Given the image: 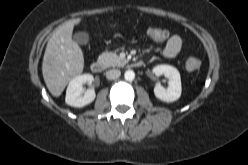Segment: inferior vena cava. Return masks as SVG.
<instances>
[{
    "label": "inferior vena cava",
    "mask_w": 248,
    "mask_h": 165,
    "mask_svg": "<svg viewBox=\"0 0 248 165\" xmlns=\"http://www.w3.org/2000/svg\"><path fill=\"white\" fill-rule=\"evenodd\" d=\"M120 75H121V72L118 69H112L106 72V77L107 79H110V80L117 79Z\"/></svg>",
    "instance_id": "1"
}]
</instances>
